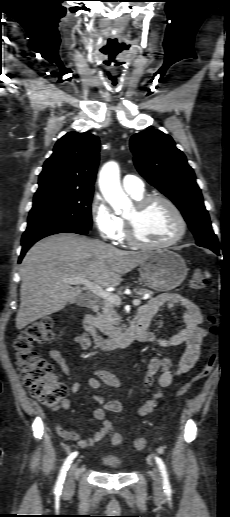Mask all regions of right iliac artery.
Segmentation results:
<instances>
[{"label":"right iliac artery","mask_w":230,"mask_h":517,"mask_svg":"<svg viewBox=\"0 0 230 517\" xmlns=\"http://www.w3.org/2000/svg\"><path fill=\"white\" fill-rule=\"evenodd\" d=\"M77 455H78V452H73L66 458L63 466L61 467V470H60V473L58 476V480H57L56 487H55L56 491H61L64 480H65L66 471L69 469L70 464L76 458Z\"/></svg>","instance_id":"obj_1"}]
</instances>
